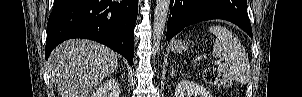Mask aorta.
<instances>
[{"instance_id":"aorta-1","label":"aorta","mask_w":302,"mask_h":97,"mask_svg":"<svg viewBox=\"0 0 302 97\" xmlns=\"http://www.w3.org/2000/svg\"><path fill=\"white\" fill-rule=\"evenodd\" d=\"M170 0H156L153 21V48H159L169 14Z\"/></svg>"}]
</instances>
